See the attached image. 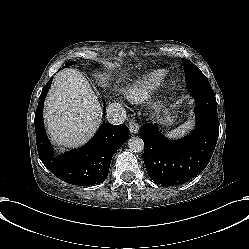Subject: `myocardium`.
<instances>
[{"label":"myocardium","mask_w":249,"mask_h":249,"mask_svg":"<svg viewBox=\"0 0 249 249\" xmlns=\"http://www.w3.org/2000/svg\"><path fill=\"white\" fill-rule=\"evenodd\" d=\"M176 86H177V81L175 79H171L167 83L162 94L149 104V111L152 114L158 115L164 111L167 105L166 98L176 89Z\"/></svg>","instance_id":"obj_1"}]
</instances>
